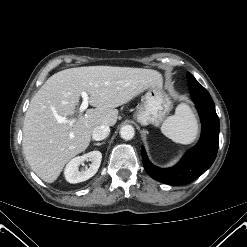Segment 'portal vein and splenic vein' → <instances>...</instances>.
<instances>
[{"label": "portal vein and splenic vein", "instance_id": "1", "mask_svg": "<svg viewBox=\"0 0 247 247\" xmlns=\"http://www.w3.org/2000/svg\"><path fill=\"white\" fill-rule=\"evenodd\" d=\"M81 97H82V103L80 105V112H84L87 108H88V104H89V96L86 92H81ZM57 120L59 123H64L67 122V120L64 117H57ZM73 120L69 121L70 125L73 124Z\"/></svg>", "mask_w": 247, "mask_h": 247}]
</instances>
